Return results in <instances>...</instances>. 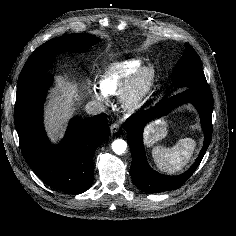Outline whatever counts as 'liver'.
<instances>
[{
	"label": "liver",
	"mask_w": 236,
	"mask_h": 236,
	"mask_svg": "<svg viewBox=\"0 0 236 236\" xmlns=\"http://www.w3.org/2000/svg\"><path fill=\"white\" fill-rule=\"evenodd\" d=\"M79 98L76 83L64 79L58 81L46 110L47 128L51 137L60 132L69 115L75 111L74 105Z\"/></svg>",
	"instance_id": "obj_1"
}]
</instances>
